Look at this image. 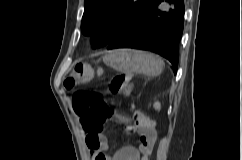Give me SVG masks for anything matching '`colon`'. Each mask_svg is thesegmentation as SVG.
I'll return each mask as SVG.
<instances>
[{
	"label": "colon",
	"mask_w": 242,
	"mask_h": 160,
	"mask_svg": "<svg viewBox=\"0 0 242 160\" xmlns=\"http://www.w3.org/2000/svg\"><path fill=\"white\" fill-rule=\"evenodd\" d=\"M102 74L101 68H93L87 63H78L65 79L66 89L72 90L76 86L90 82L95 76ZM130 77L117 74L109 82L111 94H128L130 92ZM73 109L81 118L83 127L93 135L102 133L103 124L112 117L113 110L105 101L102 94L96 91H76L72 100ZM134 113L140 112L138 109ZM96 140L92 139L93 144Z\"/></svg>",
	"instance_id": "colon-1"
}]
</instances>
